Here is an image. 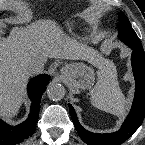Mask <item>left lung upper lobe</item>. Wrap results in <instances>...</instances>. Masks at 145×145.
Segmentation results:
<instances>
[{
	"label": "left lung upper lobe",
	"mask_w": 145,
	"mask_h": 145,
	"mask_svg": "<svg viewBox=\"0 0 145 145\" xmlns=\"http://www.w3.org/2000/svg\"><path fill=\"white\" fill-rule=\"evenodd\" d=\"M119 30H120V38L129 45L139 46L142 45L137 34L132 29L131 24L123 12H119Z\"/></svg>",
	"instance_id": "1"
}]
</instances>
